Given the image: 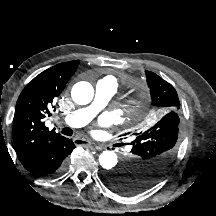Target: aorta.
I'll list each match as a JSON object with an SVG mask.
<instances>
[{"label": "aorta", "mask_w": 216, "mask_h": 216, "mask_svg": "<svg viewBox=\"0 0 216 216\" xmlns=\"http://www.w3.org/2000/svg\"><path fill=\"white\" fill-rule=\"evenodd\" d=\"M72 99L79 105L90 103L94 96V89L88 82L76 83L71 91ZM117 155L114 151H104L99 156V163L102 168L110 170L117 165Z\"/></svg>", "instance_id": "1"}]
</instances>
